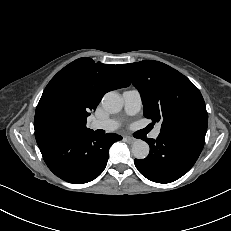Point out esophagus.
<instances>
[{"label":"esophagus","mask_w":231,"mask_h":231,"mask_svg":"<svg viewBox=\"0 0 231 231\" xmlns=\"http://www.w3.org/2000/svg\"><path fill=\"white\" fill-rule=\"evenodd\" d=\"M124 139H125L126 142H128V143H130V144H132V143H134V142L137 141L136 138L130 137V136H126V137H124Z\"/></svg>","instance_id":"obj_1"}]
</instances>
